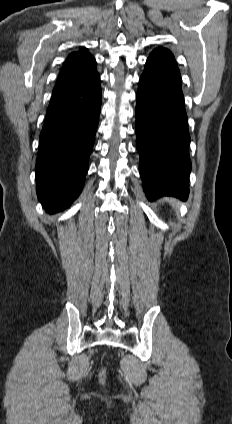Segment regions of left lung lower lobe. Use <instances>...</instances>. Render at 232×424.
I'll return each mask as SVG.
<instances>
[{
	"mask_svg": "<svg viewBox=\"0 0 232 424\" xmlns=\"http://www.w3.org/2000/svg\"><path fill=\"white\" fill-rule=\"evenodd\" d=\"M181 76L174 59H148L137 92L136 148L148 199L189 194L191 161Z\"/></svg>",
	"mask_w": 232,
	"mask_h": 424,
	"instance_id": "0a47b994",
	"label": "left lung lower lobe"
}]
</instances>
